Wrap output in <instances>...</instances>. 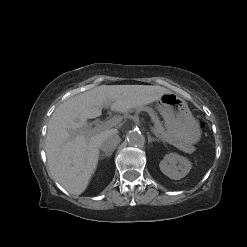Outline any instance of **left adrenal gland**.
I'll use <instances>...</instances> for the list:
<instances>
[{
    "label": "left adrenal gland",
    "instance_id": "a2214340",
    "mask_svg": "<svg viewBox=\"0 0 247 247\" xmlns=\"http://www.w3.org/2000/svg\"><path fill=\"white\" fill-rule=\"evenodd\" d=\"M159 142V139H155V138H152L151 136H148V143H151V142Z\"/></svg>",
    "mask_w": 247,
    "mask_h": 247
}]
</instances>
